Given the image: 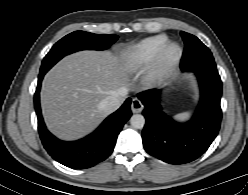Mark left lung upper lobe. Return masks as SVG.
I'll return each mask as SVG.
<instances>
[{
  "instance_id": "obj_1",
  "label": "left lung upper lobe",
  "mask_w": 248,
  "mask_h": 195,
  "mask_svg": "<svg viewBox=\"0 0 248 195\" xmlns=\"http://www.w3.org/2000/svg\"><path fill=\"white\" fill-rule=\"evenodd\" d=\"M185 43L180 68L197 73L201 70H217L211 51L194 35L181 32Z\"/></svg>"
}]
</instances>
